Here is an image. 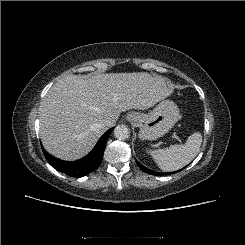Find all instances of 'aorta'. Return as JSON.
<instances>
[{
    "instance_id": "762f6f07",
    "label": "aorta",
    "mask_w": 245,
    "mask_h": 245,
    "mask_svg": "<svg viewBox=\"0 0 245 245\" xmlns=\"http://www.w3.org/2000/svg\"><path fill=\"white\" fill-rule=\"evenodd\" d=\"M114 136L119 140H125L129 138L130 131L126 125H118L114 129Z\"/></svg>"
}]
</instances>
